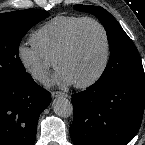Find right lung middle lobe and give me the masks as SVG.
Masks as SVG:
<instances>
[{
    "label": "right lung middle lobe",
    "instance_id": "1",
    "mask_svg": "<svg viewBox=\"0 0 145 145\" xmlns=\"http://www.w3.org/2000/svg\"><path fill=\"white\" fill-rule=\"evenodd\" d=\"M49 14L38 9L0 14V85L20 83L27 79L18 55L19 44L27 31Z\"/></svg>",
    "mask_w": 145,
    "mask_h": 145
}]
</instances>
